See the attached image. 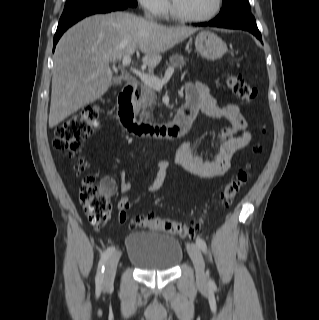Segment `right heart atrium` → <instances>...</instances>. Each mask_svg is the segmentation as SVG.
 <instances>
[{
    "label": "right heart atrium",
    "mask_w": 319,
    "mask_h": 320,
    "mask_svg": "<svg viewBox=\"0 0 319 320\" xmlns=\"http://www.w3.org/2000/svg\"><path fill=\"white\" fill-rule=\"evenodd\" d=\"M142 8L154 17H162L168 10L167 0H138Z\"/></svg>",
    "instance_id": "1"
}]
</instances>
